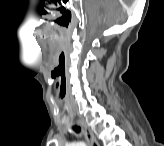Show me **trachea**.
Here are the masks:
<instances>
[{
  "label": "trachea",
  "mask_w": 164,
  "mask_h": 146,
  "mask_svg": "<svg viewBox=\"0 0 164 146\" xmlns=\"http://www.w3.org/2000/svg\"><path fill=\"white\" fill-rule=\"evenodd\" d=\"M73 129H74L77 133H79V132H80V130H81V129H80V127H76V126H75V127H73Z\"/></svg>",
  "instance_id": "obj_1"
}]
</instances>
